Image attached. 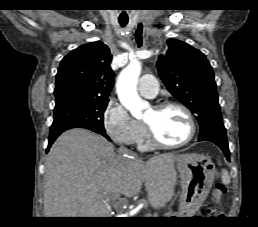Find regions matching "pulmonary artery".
Segmentation results:
<instances>
[{"label": "pulmonary artery", "instance_id": "obj_1", "mask_svg": "<svg viewBox=\"0 0 258 227\" xmlns=\"http://www.w3.org/2000/svg\"><path fill=\"white\" fill-rule=\"evenodd\" d=\"M138 91L146 98H155L158 93V83L156 78L152 75L142 76L138 83Z\"/></svg>", "mask_w": 258, "mask_h": 227}]
</instances>
